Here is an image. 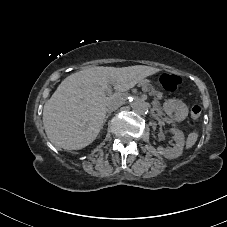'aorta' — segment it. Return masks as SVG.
I'll return each mask as SVG.
<instances>
[{"mask_svg":"<svg viewBox=\"0 0 227 227\" xmlns=\"http://www.w3.org/2000/svg\"><path fill=\"white\" fill-rule=\"evenodd\" d=\"M131 107L138 114H146L149 111V104L141 98L134 99L131 102Z\"/></svg>","mask_w":227,"mask_h":227,"instance_id":"obj_1","label":"aorta"}]
</instances>
